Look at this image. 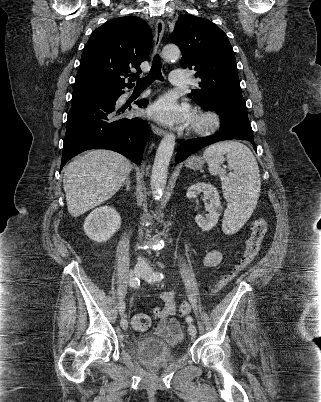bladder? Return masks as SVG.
<instances>
[{"instance_id": "bladder-1", "label": "bladder", "mask_w": 321, "mask_h": 402, "mask_svg": "<svg viewBox=\"0 0 321 402\" xmlns=\"http://www.w3.org/2000/svg\"><path fill=\"white\" fill-rule=\"evenodd\" d=\"M181 339L174 345H170L156 337L154 331L147 332L135 340L132 353L148 366H164L176 359V348L179 347Z\"/></svg>"}]
</instances>
